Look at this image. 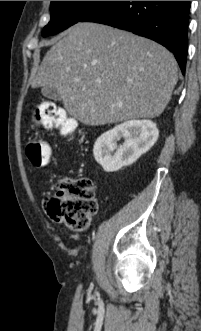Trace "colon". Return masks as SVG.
<instances>
[{
    "mask_svg": "<svg viewBox=\"0 0 201 331\" xmlns=\"http://www.w3.org/2000/svg\"><path fill=\"white\" fill-rule=\"evenodd\" d=\"M36 122L46 128H56L64 135H72L76 123L52 102L42 103L35 113ZM30 162L37 167L46 166L52 157L48 142L30 138L25 145ZM45 209L56 222L63 223L74 231L85 230L97 211L94 183L87 178L61 181L53 195L45 199Z\"/></svg>",
    "mask_w": 201,
    "mask_h": 331,
    "instance_id": "colon-1",
    "label": "colon"
}]
</instances>
